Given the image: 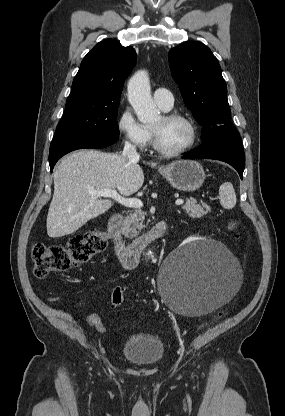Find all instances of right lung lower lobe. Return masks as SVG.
<instances>
[{
  "mask_svg": "<svg viewBox=\"0 0 285 416\" xmlns=\"http://www.w3.org/2000/svg\"><path fill=\"white\" fill-rule=\"evenodd\" d=\"M119 136L69 134L55 135L52 139L49 151L50 171L56 162L65 154L83 148H102L115 143Z\"/></svg>",
  "mask_w": 285,
  "mask_h": 416,
  "instance_id": "obj_1",
  "label": "right lung lower lobe"
}]
</instances>
